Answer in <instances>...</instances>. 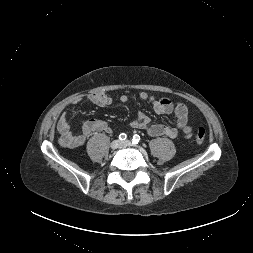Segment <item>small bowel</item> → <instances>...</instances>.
Here are the masks:
<instances>
[{"instance_id": "c3829d8e", "label": "small bowel", "mask_w": 253, "mask_h": 253, "mask_svg": "<svg viewBox=\"0 0 253 253\" xmlns=\"http://www.w3.org/2000/svg\"><path fill=\"white\" fill-rule=\"evenodd\" d=\"M140 99L149 102L157 114H174L177 118L175 126L164 124L151 123L150 118L144 113H140L137 118L131 123L135 129H143L152 137L167 136L176 138L182 135L189 138L193 133V114L182 103H174L169 98H155L146 92H141ZM89 101L99 107H107L112 103V97L104 92H94L88 97ZM128 96L122 95L121 102H127ZM79 98L72 101V105L78 104ZM58 131L61 135V143L68 148H77L82 146L87 138L93 133L105 131L112 132L109 124L102 120L89 119L82 123L81 134H73L71 132L69 118L67 112H64L58 121Z\"/></svg>"}]
</instances>
